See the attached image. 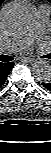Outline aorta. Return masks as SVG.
<instances>
[{
    "label": "aorta",
    "mask_w": 51,
    "mask_h": 153,
    "mask_svg": "<svg viewBox=\"0 0 51 153\" xmlns=\"http://www.w3.org/2000/svg\"><path fill=\"white\" fill-rule=\"evenodd\" d=\"M1 23L7 34L23 33L30 23L29 9L20 3H10L1 11ZM34 77L40 82L51 80V63L47 59H39L32 65Z\"/></svg>",
    "instance_id": "1"
}]
</instances>
